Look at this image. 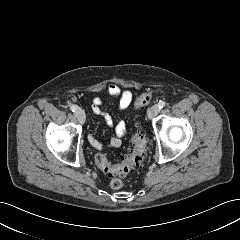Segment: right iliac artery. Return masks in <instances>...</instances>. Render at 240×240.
<instances>
[{
    "label": "right iliac artery",
    "instance_id": "obj_1",
    "mask_svg": "<svg viewBox=\"0 0 240 240\" xmlns=\"http://www.w3.org/2000/svg\"><path fill=\"white\" fill-rule=\"evenodd\" d=\"M77 108L78 107L76 105H71L70 106V109H71L72 112H76Z\"/></svg>",
    "mask_w": 240,
    "mask_h": 240
}]
</instances>
